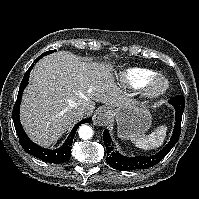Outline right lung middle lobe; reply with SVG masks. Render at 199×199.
I'll return each mask as SVG.
<instances>
[{
    "label": "right lung middle lobe",
    "mask_w": 199,
    "mask_h": 199,
    "mask_svg": "<svg viewBox=\"0 0 199 199\" xmlns=\"http://www.w3.org/2000/svg\"><path fill=\"white\" fill-rule=\"evenodd\" d=\"M55 50H51V51H47V52H44L41 56H45V55H48V54H51L53 53Z\"/></svg>",
    "instance_id": "right-lung-middle-lobe-1"
}]
</instances>
